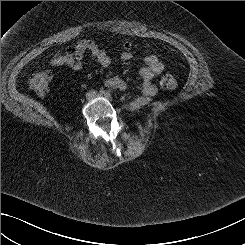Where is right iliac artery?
Listing matches in <instances>:
<instances>
[{
  "mask_svg": "<svg viewBox=\"0 0 245 245\" xmlns=\"http://www.w3.org/2000/svg\"><path fill=\"white\" fill-rule=\"evenodd\" d=\"M99 93H100L101 95H103V94H105V90H104L103 88H101V89L99 90Z\"/></svg>",
  "mask_w": 245,
  "mask_h": 245,
  "instance_id": "right-iliac-artery-1",
  "label": "right iliac artery"
}]
</instances>
